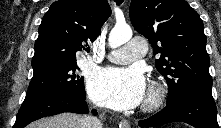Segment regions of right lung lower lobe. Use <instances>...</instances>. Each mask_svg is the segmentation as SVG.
I'll list each match as a JSON object with an SVG mask.
<instances>
[{
    "instance_id": "right-lung-lower-lobe-1",
    "label": "right lung lower lobe",
    "mask_w": 221,
    "mask_h": 128,
    "mask_svg": "<svg viewBox=\"0 0 221 128\" xmlns=\"http://www.w3.org/2000/svg\"><path fill=\"white\" fill-rule=\"evenodd\" d=\"M86 94H78L67 89H51L35 95L26 96L13 128H23L29 123L63 112L88 114ZM96 114V111H92Z\"/></svg>"
}]
</instances>
